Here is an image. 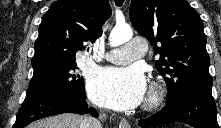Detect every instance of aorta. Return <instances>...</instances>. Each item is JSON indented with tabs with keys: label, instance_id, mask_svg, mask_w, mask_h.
<instances>
[{
	"label": "aorta",
	"instance_id": "aorta-1",
	"mask_svg": "<svg viewBox=\"0 0 221 128\" xmlns=\"http://www.w3.org/2000/svg\"><path fill=\"white\" fill-rule=\"evenodd\" d=\"M132 37L133 31L129 25H116L109 35L110 46H120L128 42Z\"/></svg>",
	"mask_w": 221,
	"mask_h": 128
}]
</instances>
